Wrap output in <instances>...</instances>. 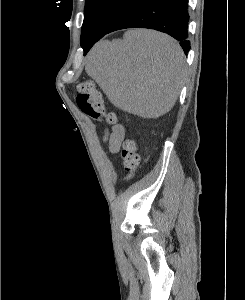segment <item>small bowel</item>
<instances>
[{"label":"small bowel","instance_id":"c3829d8e","mask_svg":"<svg viewBox=\"0 0 245 300\" xmlns=\"http://www.w3.org/2000/svg\"><path fill=\"white\" fill-rule=\"evenodd\" d=\"M124 137L125 128L120 123L105 128L103 141L108 145L111 154L116 155L119 153Z\"/></svg>","mask_w":245,"mask_h":300}]
</instances>
